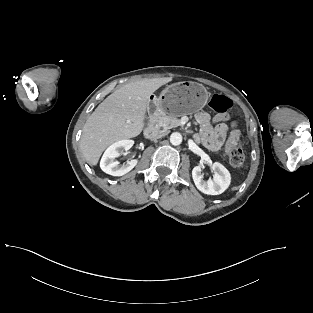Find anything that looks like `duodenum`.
<instances>
[{"instance_id":"obj_1","label":"duodenum","mask_w":313,"mask_h":313,"mask_svg":"<svg viewBox=\"0 0 313 313\" xmlns=\"http://www.w3.org/2000/svg\"><path fill=\"white\" fill-rule=\"evenodd\" d=\"M158 126H157V118L153 116L150 120L148 127L145 130V135L147 138L152 139L157 136Z\"/></svg>"}]
</instances>
